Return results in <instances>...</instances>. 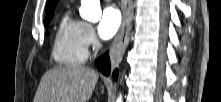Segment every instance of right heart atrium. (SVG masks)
Returning <instances> with one entry per match:
<instances>
[{"label":"right heart atrium","instance_id":"d8ad5b80","mask_svg":"<svg viewBox=\"0 0 221 102\" xmlns=\"http://www.w3.org/2000/svg\"><path fill=\"white\" fill-rule=\"evenodd\" d=\"M83 38L87 48H92L95 46L96 38L94 30L91 25L84 23L83 26Z\"/></svg>","mask_w":221,"mask_h":102}]
</instances>
